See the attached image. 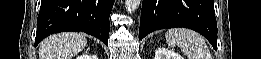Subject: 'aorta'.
<instances>
[{
  "label": "aorta",
  "mask_w": 261,
  "mask_h": 59,
  "mask_svg": "<svg viewBox=\"0 0 261 59\" xmlns=\"http://www.w3.org/2000/svg\"><path fill=\"white\" fill-rule=\"evenodd\" d=\"M141 4V0H125V9L129 13L135 12Z\"/></svg>",
  "instance_id": "1"
}]
</instances>
